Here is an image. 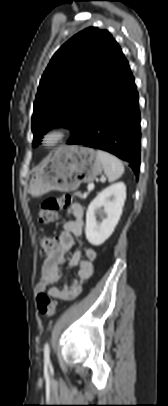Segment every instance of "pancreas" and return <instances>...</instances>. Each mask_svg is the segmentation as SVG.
<instances>
[{"instance_id": "pancreas-1", "label": "pancreas", "mask_w": 168, "mask_h": 406, "mask_svg": "<svg viewBox=\"0 0 168 406\" xmlns=\"http://www.w3.org/2000/svg\"><path fill=\"white\" fill-rule=\"evenodd\" d=\"M75 196H78L80 198H84V196L80 193V192H75L74 193Z\"/></svg>"}]
</instances>
